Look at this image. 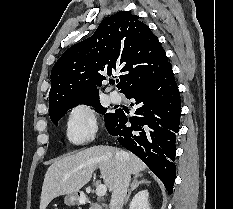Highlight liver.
Wrapping results in <instances>:
<instances>
[{
    "label": "liver",
    "instance_id": "obj_1",
    "mask_svg": "<svg viewBox=\"0 0 233 209\" xmlns=\"http://www.w3.org/2000/svg\"><path fill=\"white\" fill-rule=\"evenodd\" d=\"M117 153L122 154L131 174L137 175L146 169V165L135 155L110 146H93L67 155L48 168L42 186L40 209H46L58 196L79 192L91 180L97 168L108 190L113 191L118 168Z\"/></svg>",
    "mask_w": 233,
    "mask_h": 209
}]
</instances>
